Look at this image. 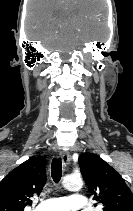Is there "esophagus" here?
<instances>
[{
	"mask_svg": "<svg viewBox=\"0 0 133 211\" xmlns=\"http://www.w3.org/2000/svg\"><path fill=\"white\" fill-rule=\"evenodd\" d=\"M60 157L62 159L63 165L66 166L70 161L69 153L66 151H60Z\"/></svg>",
	"mask_w": 133,
	"mask_h": 211,
	"instance_id": "1",
	"label": "esophagus"
}]
</instances>
